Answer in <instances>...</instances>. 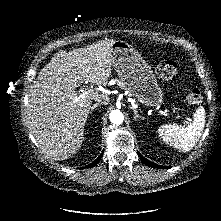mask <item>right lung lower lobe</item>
<instances>
[{"mask_svg": "<svg viewBox=\"0 0 221 221\" xmlns=\"http://www.w3.org/2000/svg\"><path fill=\"white\" fill-rule=\"evenodd\" d=\"M101 157H102V154H101L93 163L87 165L86 168H87V167L95 166V165L99 162V160L101 159Z\"/></svg>", "mask_w": 221, "mask_h": 221, "instance_id": "98d812e1", "label": "right lung lower lobe"}]
</instances>
